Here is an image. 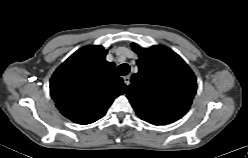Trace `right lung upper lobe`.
<instances>
[{
    "label": "right lung upper lobe",
    "instance_id": "1",
    "mask_svg": "<svg viewBox=\"0 0 248 158\" xmlns=\"http://www.w3.org/2000/svg\"><path fill=\"white\" fill-rule=\"evenodd\" d=\"M102 46L84 47L54 72L50 94L59 111L78 124L102 118L113 100L126 91L115 64L105 60Z\"/></svg>",
    "mask_w": 248,
    "mask_h": 158
}]
</instances>
